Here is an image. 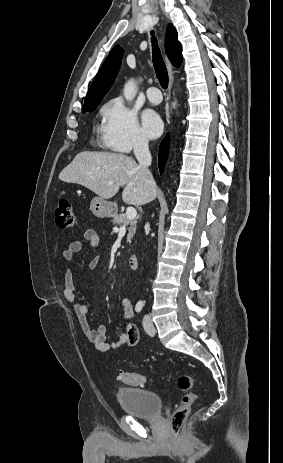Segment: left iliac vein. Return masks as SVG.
I'll return each mask as SVG.
<instances>
[{
  "mask_svg": "<svg viewBox=\"0 0 283 463\" xmlns=\"http://www.w3.org/2000/svg\"><path fill=\"white\" fill-rule=\"evenodd\" d=\"M143 327H144V330L145 332L149 335V336H154L155 334V327H154V324L151 320V317L149 315H145L143 317Z\"/></svg>",
  "mask_w": 283,
  "mask_h": 463,
  "instance_id": "left-iliac-vein-1",
  "label": "left iliac vein"
}]
</instances>
